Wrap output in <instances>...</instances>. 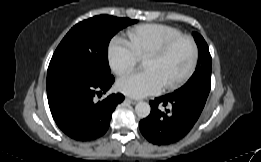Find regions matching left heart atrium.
Listing matches in <instances>:
<instances>
[{"label":"left heart atrium","mask_w":261,"mask_h":162,"mask_svg":"<svg viewBox=\"0 0 261 162\" xmlns=\"http://www.w3.org/2000/svg\"><path fill=\"white\" fill-rule=\"evenodd\" d=\"M164 86L160 75L155 70L126 75L117 81L118 90L134 98L158 94Z\"/></svg>","instance_id":"39dd6f15"}]
</instances>
